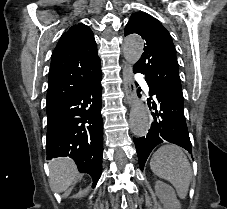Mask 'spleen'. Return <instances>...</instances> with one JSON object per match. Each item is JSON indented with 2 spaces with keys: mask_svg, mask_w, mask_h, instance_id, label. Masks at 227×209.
Returning <instances> with one entry per match:
<instances>
[{
  "mask_svg": "<svg viewBox=\"0 0 227 209\" xmlns=\"http://www.w3.org/2000/svg\"><path fill=\"white\" fill-rule=\"evenodd\" d=\"M150 169L160 179L169 181L180 199H186L192 177L190 163L177 145H163L151 157Z\"/></svg>",
  "mask_w": 227,
  "mask_h": 209,
  "instance_id": "spleen-1",
  "label": "spleen"
}]
</instances>
